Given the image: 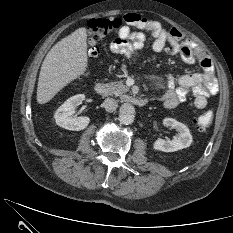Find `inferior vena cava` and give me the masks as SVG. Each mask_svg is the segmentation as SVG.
Segmentation results:
<instances>
[{"label":"inferior vena cava","mask_w":233,"mask_h":233,"mask_svg":"<svg viewBox=\"0 0 233 233\" xmlns=\"http://www.w3.org/2000/svg\"><path fill=\"white\" fill-rule=\"evenodd\" d=\"M103 106H104L106 111L113 112L117 109L118 104H117L115 99L107 98V99H105Z\"/></svg>","instance_id":"obj_1"}]
</instances>
